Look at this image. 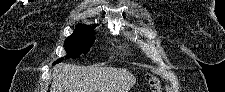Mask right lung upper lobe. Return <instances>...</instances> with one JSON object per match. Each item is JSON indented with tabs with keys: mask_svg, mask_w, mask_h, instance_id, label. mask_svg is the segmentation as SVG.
<instances>
[{
	"mask_svg": "<svg viewBox=\"0 0 225 92\" xmlns=\"http://www.w3.org/2000/svg\"><path fill=\"white\" fill-rule=\"evenodd\" d=\"M84 26H86V25L80 23V24L77 25L76 29H79V28L84 27Z\"/></svg>",
	"mask_w": 225,
	"mask_h": 92,
	"instance_id": "right-lung-upper-lobe-1",
	"label": "right lung upper lobe"
}]
</instances>
